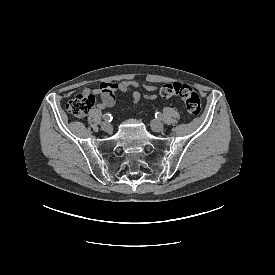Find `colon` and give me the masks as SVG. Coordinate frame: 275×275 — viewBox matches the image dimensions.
Returning <instances> with one entry per match:
<instances>
[{"mask_svg":"<svg viewBox=\"0 0 275 275\" xmlns=\"http://www.w3.org/2000/svg\"><path fill=\"white\" fill-rule=\"evenodd\" d=\"M160 94L164 98L178 97L186 107L189 116H196L200 112L201 101L198 93L188 84L171 82L162 85ZM95 102L94 95H78L66 103V110L72 116L82 118L88 114Z\"/></svg>","mask_w":275,"mask_h":275,"instance_id":"5ec220e1","label":"colon"}]
</instances>
